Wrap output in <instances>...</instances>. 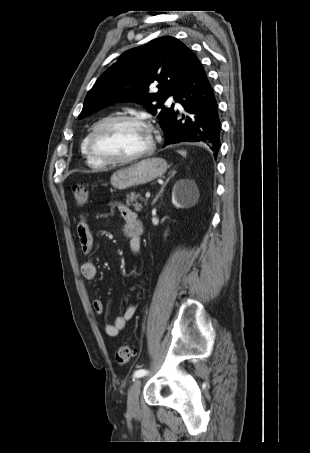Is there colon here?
<instances>
[{
	"instance_id": "1",
	"label": "colon",
	"mask_w": 310,
	"mask_h": 453,
	"mask_svg": "<svg viewBox=\"0 0 310 453\" xmlns=\"http://www.w3.org/2000/svg\"><path fill=\"white\" fill-rule=\"evenodd\" d=\"M74 201L77 206L82 207L88 202V191L84 185L73 186ZM133 349L129 345H123L118 348L115 354L117 363L120 365L127 364L133 357Z\"/></svg>"
}]
</instances>
